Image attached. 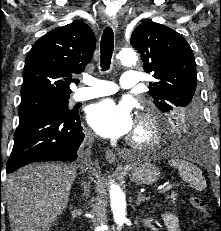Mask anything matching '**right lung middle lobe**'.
<instances>
[{
    "label": "right lung middle lobe",
    "instance_id": "right-lung-middle-lobe-1",
    "mask_svg": "<svg viewBox=\"0 0 221 231\" xmlns=\"http://www.w3.org/2000/svg\"><path fill=\"white\" fill-rule=\"evenodd\" d=\"M68 99L63 97H32L21 100V104L18 109V115L21 116L24 113L43 109L51 108L64 112H74L68 108Z\"/></svg>",
    "mask_w": 221,
    "mask_h": 231
}]
</instances>
